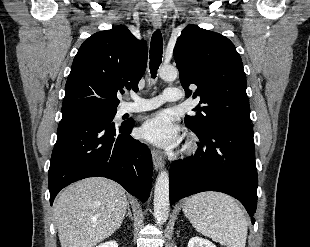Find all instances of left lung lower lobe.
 Listing matches in <instances>:
<instances>
[{
    "label": "left lung lower lobe",
    "mask_w": 310,
    "mask_h": 247,
    "mask_svg": "<svg viewBox=\"0 0 310 247\" xmlns=\"http://www.w3.org/2000/svg\"><path fill=\"white\" fill-rule=\"evenodd\" d=\"M197 136L196 154L170 167V205L195 193L219 191L241 201L254 224L258 178L251 124H222Z\"/></svg>",
    "instance_id": "0a47b994"
}]
</instances>
